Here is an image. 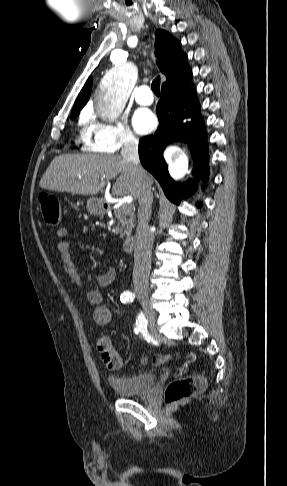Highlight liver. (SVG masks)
I'll return each instance as SVG.
<instances>
[{"mask_svg": "<svg viewBox=\"0 0 287 486\" xmlns=\"http://www.w3.org/2000/svg\"><path fill=\"white\" fill-rule=\"evenodd\" d=\"M117 175L119 177L113 185L112 194L139 198L140 183L134 166L119 155L64 154L57 156L42 176L39 186L57 192L96 195L103 190L107 181ZM147 179L152 185L153 181L148 173Z\"/></svg>", "mask_w": 287, "mask_h": 486, "instance_id": "liver-1", "label": "liver"}]
</instances>
